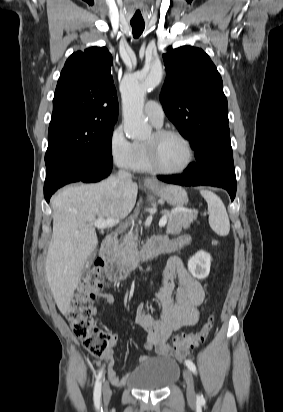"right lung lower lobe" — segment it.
<instances>
[{"label": "right lung lower lobe", "mask_w": 283, "mask_h": 412, "mask_svg": "<svg viewBox=\"0 0 283 412\" xmlns=\"http://www.w3.org/2000/svg\"><path fill=\"white\" fill-rule=\"evenodd\" d=\"M112 162L93 160L83 163L62 162L46 169L44 197L49 202L52 194L60 187L77 181L97 182L107 177Z\"/></svg>", "instance_id": "right-lung-lower-lobe-1"}]
</instances>
